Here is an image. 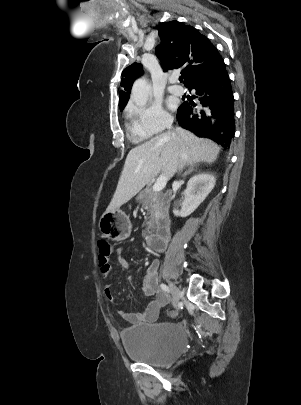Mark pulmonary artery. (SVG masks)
Listing matches in <instances>:
<instances>
[{"label":"pulmonary artery","mask_w":301,"mask_h":405,"mask_svg":"<svg viewBox=\"0 0 301 405\" xmlns=\"http://www.w3.org/2000/svg\"><path fill=\"white\" fill-rule=\"evenodd\" d=\"M169 92L174 95H182L184 93V89L177 84V78L170 79V86L168 87Z\"/></svg>","instance_id":"pulmonary-artery-1"}]
</instances>
